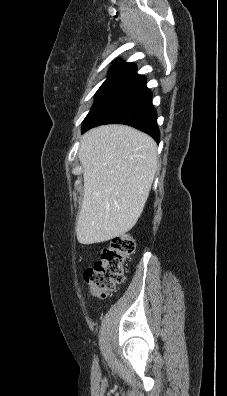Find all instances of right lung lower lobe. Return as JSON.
Listing matches in <instances>:
<instances>
[{
	"instance_id": "obj_1",
	"label": "right lung lower lobe",
	"mask_w": 227,
	"mask_h": 396,
	"mask_svg": "<svg viewBox=\"0 0 227 396\" xmlns=\"http://www.w3.org/2000/svg\"><path fill=\"white\" fill-rule=\"evenodd\" d=\"M103 124H126L159 143L157 114L146 79L136 72L95 108L83 121L82 133Z\"/></svg>"
}]
</instances>
